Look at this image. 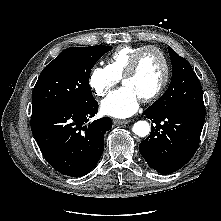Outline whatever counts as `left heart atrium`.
Masks as SVG:
<instances>
[{
	"label": "left heart atrium",
	"mask_w": 221,
	"mask_h": 221,
	"mask_svg": "<svg viewBox=\"0 0 221 221\" xmlns=\"http://www.w3.org/2000/svg\"><path fill=\"white\" fill-rule=\"evenodd\" d=\"M139 102L137 94L130 87L123 86L101 102V111L112 117L126 118L138 110Z\"/></svg>",
	"instance_id": "left-heart-atrium-1"
}]
</instances>
